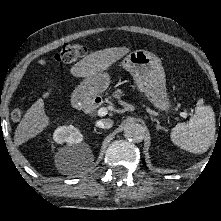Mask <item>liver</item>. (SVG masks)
<instances>
[{"label": "liver", "mask_w": 221, "mask_h": 221, "mask_svg": "<svg viewBox=\"0 0 221 221\" xmlns=\"http://www.w3.org/2000/svg\"><path fill=\"white\" fill-rule=\"evenodd\" d=\"M129 52L130 49L126 47H112L90 53L72 66L70 72L75 77H89L97 72L107 70ZM50 92L51 89L45 92L42 97L47 98ZM43 98L38 99L28 109L18 124L14 135L16 146L35 137L50 124L49 117L45 113Z\"/></svg>", "instance_id": "6515ba94"}]
</instances>
